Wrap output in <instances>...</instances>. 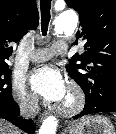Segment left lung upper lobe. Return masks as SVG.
<instances>
[{
	"instance_id": "5c2ea615",
	"label": "left lung upper lobe",
	"mask_w": 116,
	"mask_h": 134,
	"mask_svg": "<svg viewBox=\"0 0 116 134\" xmlns=\"http://www.w3.org/2000/svg\"><path fill=\"white\" fill-rule=\"evenodd\" d=\"M65 1L79 13L76 41L85 42V52L75 54L66 70L84 90L86 101L116 98V0Z\"/></svg>"
}]
</instances>
